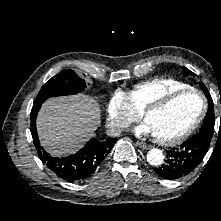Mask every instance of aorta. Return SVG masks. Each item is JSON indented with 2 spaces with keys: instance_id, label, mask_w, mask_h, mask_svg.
I'll return each mask as SVG.
<instances>
[{
  "instance_id": "762f6f07",
  "label": "aorta",
  "mask_w": 221,
  "mask_h": 221,
  "mask_svg": "<svg viewBox=\"0 0 221 221\" xmlns=\"http://www.w3.org/2000/svg\"><path fill=\"white\" fill-rule=\"evenodd\" d=\"M164 154L160 149L153 148L147 153V162L153 166H159L163 163Z\"/></svg>"
}]
</instances>
